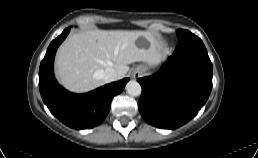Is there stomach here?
I'll return each mask as SVG.
<instances>
[{
    "label": "stomach",
    "mask_w": 258,
    "mask_h": 158,
    "mask_svg": "<svg viewBox=\"0 0 258 158\" xmlns=\"http://www.w3.org/2000/svg\"><path fill=\"white\" fill-rule=\"evenodd\" d=\"M149 65L148 64H144V65H139L137 66V70H140L143 74H146L149 70Z\"/></svg>",
    "instance_id": "0dacf381"
}]
</instances>
